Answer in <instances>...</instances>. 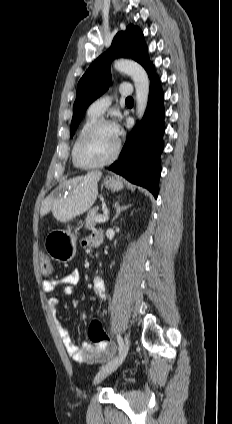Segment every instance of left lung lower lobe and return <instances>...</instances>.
I'll return each instance as SVG.
<instances>
[{
    "mask_svg": "<svg viewBox=\"0 0 232 424\" xmlns=\"http://www.w3.org/2000/svg\"><path fill=\"white\" fill-rule=\"evenodd\" d=\"M148 75L150 93L143 120L137 123L126 140L119 160L109 170L147 188L157 198L161 173L160 155L164 148V96L154 67Z\"/></svg>",
    "mask_w": 232,
    "mask_h": 424,
    "instance_id": "0a47b994",
    "label": "left lung lower lobe"
}]
</instances>
